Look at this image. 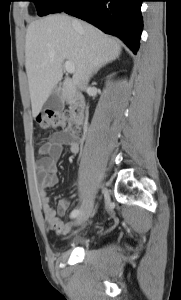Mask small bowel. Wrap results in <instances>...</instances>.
<instances>
[{
  "mask_svg": "<svg viewBox=\"0 0 181 300\" xmlns=\"http://www.w3.org/2000/svg\"><path fill=\"white\" fill-rule=\"evenodd\" d=\"M64 146H69L72 153L80 150V145L75 139L68 138L64 133L52 134L48 141L39 148L40 158L37 163L36 182L39 186L38 197L41 203L43 215L48 226L57 234H66L71 229L70 223L63 222L59 216L69 208L67 200H61L57 209L50 205L47 190L58 183L57 162L62 154Z\"/></svg>",
  "mask_w": 181,
  "mask_h": 300,
  "instance_id": "c3829d8e",
  "label": "small bowel"
}]
</instances>
